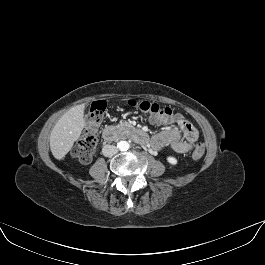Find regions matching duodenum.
<instances>
[{
  "mask_svg": "<svg viewBox=\"0 0 265 265\" xmlns=\"http://www.w3.org/2000/svg\"><path fill=\"white\" fill-rule=\"evenodd\" d=\"M128 136L133 140L137 141L142 145H147L149 143V138L145 131L141 128H133L130 131H125L123 128L120 127H113V126H106L102 130V139L105 142H111L116 139L123 138Z\"/></svg>",
  "mask_w": 265,
  "mask_h": 265,
  "instance_id": "duodenum-1",
  "label": "duodenum"
}]
</instances>
